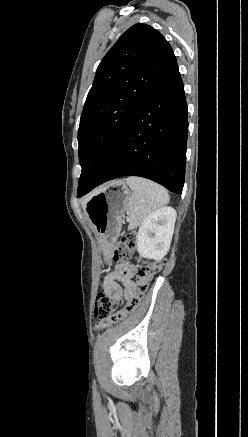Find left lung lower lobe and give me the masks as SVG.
Segmentation results:
<instances>
[{"label":"left lung lower lobe","instance_id":"1","mask_svg":"<svg viewBox=\"0 0 248 437\" xmlns=\"http://www.w3.org/2000/svg\"><path fill=\"white\" fill-rule=\"evenodd\" d=\"M187 130L184 86L175 63L133 113L115 151L84 194L125 175L151 179L181 194Z\"/></svg>","mask_w":248,"mask_h":437}]
</instances>
